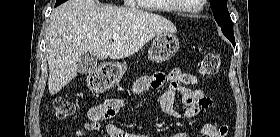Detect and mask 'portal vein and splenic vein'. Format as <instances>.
Segmentation results:
<instances>
[{"mask_svg": "<svg viewBox=\"0 0 280 137\" xmlns=\"http://www.w3.org/2000/svg\"><path fill=\"white\" fill-rule=\"evenodd\" d=\"M112 39H113V40H118V39H119V35H113V36H112Z\"/></svg>", "mask_w": 280, "mask_h": 137, "instance_id": "18ae733b", "label": "portal vein and splenic vein"}]
</instances>
